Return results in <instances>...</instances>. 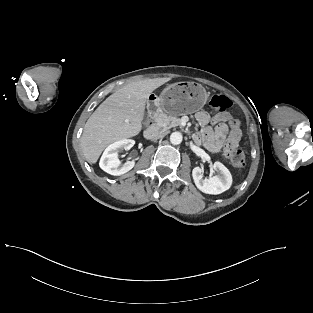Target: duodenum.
Returning a JSON list of instances; mask_svg holds the SVG:
<instances>
[{
    "label": "duodenum",
    "instance_id": "410a0bca",
    "mask_svg": "<svg viewBox=\"0 0 313 313\" xmlns=\"http://www.w3.org/2000/svg\"><path fill=\"white\" fill-rule=\"evenodd\" d=\"M158 134V128L155 124V119H153L152 124L147 127L145 130V137L147 139H154Z\"/></svg>",
    "mask_w": 313,
    "mask_h": 313
}]
</instances>
